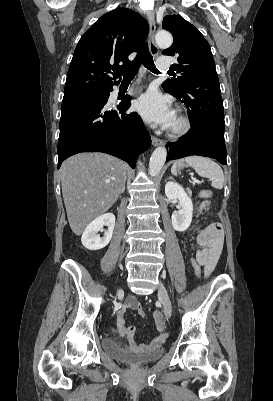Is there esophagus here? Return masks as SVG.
<instances>
[{
	"label": "esophagus",
	"instance_id": "esophagus-1",
	"mask_svg": "<svg viewBox=\"0 0 273 401\" xmlns=\"http://www.w3.org/2000/svg\"><path fill=\"white\" fill-rule=\"evenodd\" d=\"M147 18H148L149 29H150L149 30V38H148L149 50L153 56H156V55H158L159 50L154 41V36H155V31H156L154 14L152 12H148ZM152 143L154 146H162L165 144V142L163 140H160L159 138H156L155 136H152Z\"/></svg>",
	"mask_w": 273,
	"mask_h": 401
}]
</instances>
